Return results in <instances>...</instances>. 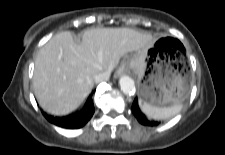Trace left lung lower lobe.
I'll return each instance as SVG.
<instances>
[{
  "label": "left lung lower lobe",
  "instance_id": "0a47b994",
  "mask_svg": "<svg viewBox=\"0 0 225 155\" xmlns=\"http://www.w3.org/2000/svg\"><path fill=\"white\" fill-rule=\"evenodd\" d=\"M132 111L133 114L135 115V117L137 118V120L146 126H157L160 122L157 121H152V120H148L145 115L140 111L139 107H138V102H137V98L134 100L133 104H132Z\"/></svg>",
  "mask_w": 225,
  "mask_h": 155
}]
</instances>
